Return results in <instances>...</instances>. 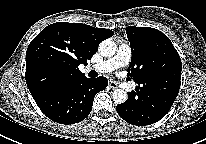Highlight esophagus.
Segmentation results:
<instances>
[{
	"mask_svg": "<svg viewBox=\"0 0 206 144\" xmlns=\"http://www.w3.org/2000/svg\"><path fill=\"white\" fill-rule=\"evenodd\" d=\"M108 85L111 89H116L118 87V84L114 81H109Z\"/></svg>",
	"mask_w": 206,
	"mask_h": 144,
	"instance_id": "esophagus-1",
	"label": "esophagus"
}]
</instances>
